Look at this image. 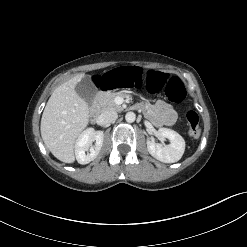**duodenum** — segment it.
<instances>
[{"mask_svg": "<svg viewBox=\"0 0 247 247\" xmlns=\"http://www.w3.org/2000/svg\"><path fill=\"white\" fill-rule=\"evenodd\" d=\"M97 115H98V109H97V107L96 106H92L90 108V116L92 118H95V117H97Z\"/></svg>", "mask_w": 247, "mask_h": 247, "instance_id": "410a0bca", "label": "duodenum"}]
</instances>
